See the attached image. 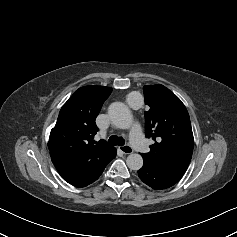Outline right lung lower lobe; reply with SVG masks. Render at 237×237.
I'll use <instances>...</instances> for the list:
<instances>
[{"mask_svg":"<svg viewBox=\"0 0 237 237\" xmlns=\"http://www.w3.org/2000/svg\"><path fill=\"white\" fill-rule=\"evenodd\" d=\"M115 156L116 149L108 159L92 166H80L61 156L51 157V159L65 181L75 187H85L99 178L106 165Z\"/></svg>","mask_w":237,"mask_h":237,"instance_id":"obj_1","label":"right lung lower lobe"}]
</instances>
